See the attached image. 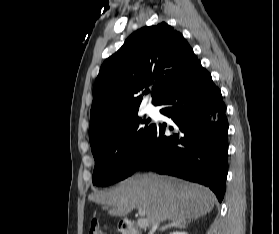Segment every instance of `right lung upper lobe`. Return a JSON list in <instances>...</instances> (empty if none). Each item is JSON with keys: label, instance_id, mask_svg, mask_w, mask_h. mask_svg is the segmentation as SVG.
I'll return each mask as SVG.
<instances>
[{"label": "right lung upper lobe", "instance_id": "obj_1", "mask_svg": "<svg viewBox=\"0 0 279 234\" xmlns=\"http://www.w3.org/2000/svg\"><path fill=\"white\" fill-rule=\"evenodd\" d=\"M200 61L183 35L168 24L143 27L102 64L90 112V144L109 135L138 113L142 95L152 86L160 105Z\"/></svg>", "mask_w": 279, "mask_h": 234}]
</instances>
